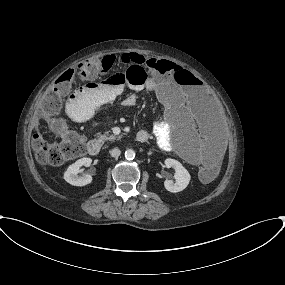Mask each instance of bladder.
I'll use <instances>...</instances> for the list:
<instances>
[{
    "label": "bladder",
    "instance_id": "31cf9c89",
    "mask_svg": "<svg viewBox=\"0 0 285 285\" xmlns=\"http://www.w3.org/2000/svg\"><path fill=\"white\" fill-rule=\"evenodd\" d=\"M179 155L184 156L185 155V151L181 148L179 149Z\"/></svg>",
    "mask_w": 285,
    "mask_h": 285
}]
</instances>
